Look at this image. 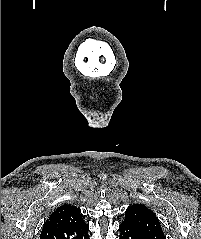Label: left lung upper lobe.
<instances>
[{"mask_svg":"<svg viewBox=\"0 0 201 239\" xmlns=\"http://www.w3.org/2000/svg\"><path fill=\"white\" fill-rule=\"evenodd\" d=\"M123 223L135 227L150 239H166L158 218L144 205L135 204L127 208Z\"/></svg>","mask_w":201,"mask_h":239,"instance_id":"obj_1","label":"left lung upper lobe"}]
</instances>
